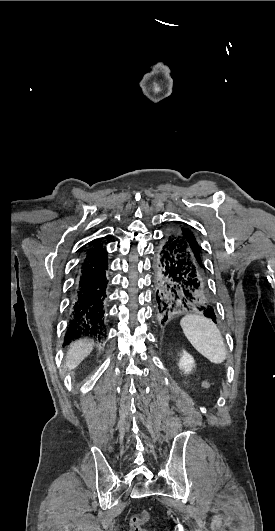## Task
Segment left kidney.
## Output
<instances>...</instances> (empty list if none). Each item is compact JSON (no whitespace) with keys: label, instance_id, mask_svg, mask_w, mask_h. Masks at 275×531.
<instances>
[{"label":"left kidney","instance_id":"1","mask_svg":"<svg viewBox=\"0 0 275 531\" xmlns=\"http://www.w3.org/2000/svg\"><path fill=\"white\" fill-rule=\"evenodd\" d=\"M179 367L184 371L185 375H188L192 371V367H194V359L186 351H183L181 355Z\"/></svg>","mask_w":275,"mask_h":531}]
</instances>
